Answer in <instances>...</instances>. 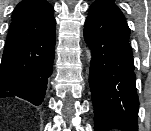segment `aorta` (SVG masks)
I'll return each instance as SVG.
<instances>
[{"mask_svg": "<svg viewBox=\"0 0 151 131\" xmlns=\"http://www.w3.org/2000/svg\"><path fill=\"white\" fill-rule=\"evenodd\" d=\"M86 59L90 63L92 60V53L90 50H86Z\"/></svg>", "mask_w": 151, "mask_h": 131, "instance_id": "obj_1", "label": "aorta"}]
</instances>
